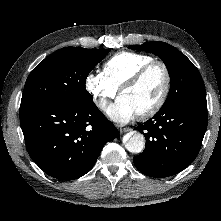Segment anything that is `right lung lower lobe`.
I'll list each match as a JSON object with an SVG mask.
<instances>
[{"mask_svg":"<svg viewBox=\"0 0 221 221\" xmlns=\"http://www.w3.org/2000/svg\"><path fill=\"white\" fill-rule=\"evenodd\" d=\"M20 123L31 159L60 180L89 172L104 145L119 135L93 101L21 103Z\"/></svg>","mask_w":221,"mask_h":221,"instance_id":"obj_1","label":"right lung lower lobe"}]
</instances>
